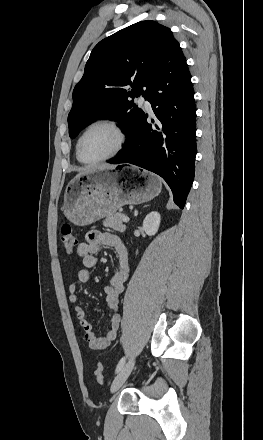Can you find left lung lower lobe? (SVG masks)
I'll list each match as a JSON object with an SVG mask.
<instances>
[{
    "mask_svg": "<svg viewBox=\"0 0 263 440\" xmlns=\"http://www.w3.org/2000/svg\"><path fill=\"white\" fill-rule=\"evenodd\" d=\"M157 121L139 117L128 141L110 164L130 163L161 176L183 209L195 174L196 108L191 75L178 44L169 50L144 96Z\"/></svg>",
    "mask_w": 263,
    "mask_h": 440,
    "instance_id": "obj_1",
    "label": "left lung lower lobe"
}]
</instances>
